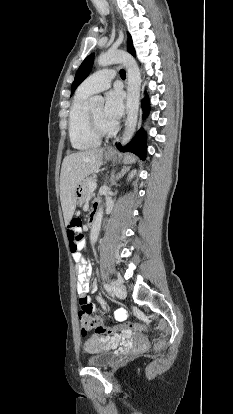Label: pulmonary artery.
Wrapping results in <instances>:
<instances>
[{"label":"pulmonary artery","instance_id":"e3ab8cb5","mask_svg":"<svg viewBox=\"0 0 233 414\" xmlns=\"http://www.w3.org/2000/svg\"><path fill=\"white\" fill-rule=\"evenodd\" d=\"M114 77V70L103 69L86 78L80 88L89 94L101 92L110 86Z\"/></svg>","mask_w":233,"mask_h":414}]
</instances>
